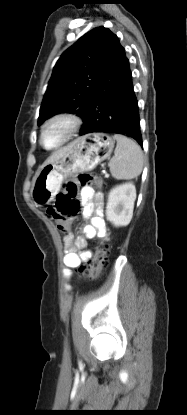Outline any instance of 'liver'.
<instances>
[{
    "label": "liver",
    "mask_w": 187,
    "mask_h": 415,
    "mask_svg": "<svg viewBox=\"0 0 187 415\" xmlns=\"http://www.w3.org/2000/svg\"><path fill=\"white\" fill-rule=\"evenodd\" d=\"M69 149V145L55 151L45 162V164L52 163L60 159Z\"/></svg>",
    "instance_id": "obj_1"
}]
</instances>
